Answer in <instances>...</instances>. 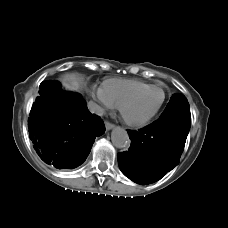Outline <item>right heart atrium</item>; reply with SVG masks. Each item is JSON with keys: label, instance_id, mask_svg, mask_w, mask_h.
Masks as SVG:
<instances>
[{"label": "right heart atrium", "instance_id": "d8ad5b80", "mask_svg": "<svg viewBox=\"0 0 228 228\" xmlns=\"http://www.w3.org/2000/svg\"><path fill=\"white\" fill-rule=\"evenodd\" d=\"M92 96H93L94 99L97 100V102L100 104V106L102 108H104V109H111V108H113L112 103L104 95L102 89H99L97 91H92Z\"/></svg>", "mask_w": 228, "mask_h": 228}]
</instances>
